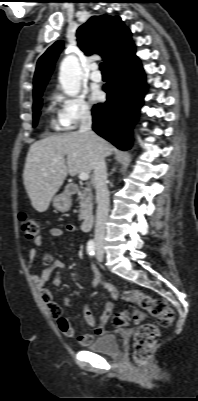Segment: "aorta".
Masks as SVG:
<instances>
[{"label": "aorta", "mask_w": 198, "mask_h": 401, "mask_svg": "<svg viewBox=\"0 0 198 401\" xmlns=\"http://www.w3.org/2000/svg\"><path fill=\"white\" fill-rule=\"evenodd\" d=\"M59 82L64 93L76 96L81 89V70L74 56H67L60 65Z\"/></svg>", "instance_id": "1"}]
</instances>
